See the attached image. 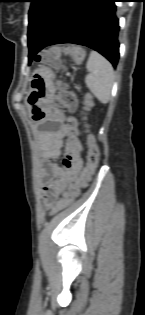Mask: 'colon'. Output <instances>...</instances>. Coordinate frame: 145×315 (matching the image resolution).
Returning a JSON list of instances; mask_svg holds the SVG:
<instances>
[{"label": "colon", "mask_w": 145, "mask_h": 315, "mask_svg": "<svg viewBox=\"0 0 145 315\" xmlns=\"http://www.w3.org/2000/svg\"><path fill=\"white\" fill-rule=\"evenodd\" d=\"M64 52L68 54L75 63H80L84 58V51L79 47H67L64 50L59 47H51L43 50L39 55L38 60L45 65L58 66L61 64L62 55ZM55 102L59 108L71 110L76 105V96L72 91L66 88H61L56 95ZM87 147V163L83 174L81 178L68 189L63 198L56 204L54 209L55 212L64 209L75 200L81 189L89 182L91 176L99 165V149L91 136L87 137Z\"/></svg>", "instance_id": "1"}]
</instances>
